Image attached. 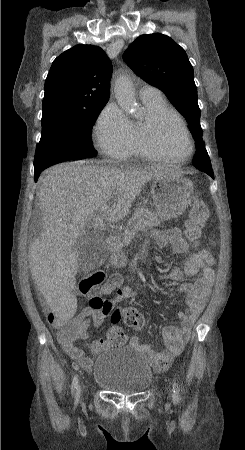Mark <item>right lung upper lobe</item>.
<instances>
[{
	"instance_id": "right-lung-upper-lobe-1",
	"label": "right lung upper lobe",
	"mask_w": 245,
	"mask_h": 450,
	"mask_svg": "<svg viewBox=\"0 0 245 450\" xmlns=\"http://www.w3.org/2000/svg\"><path fill=\"white\" fill-rule=\"evenodd\" d=\"M112 65L97 46L77 45L57 57L45 81L43 109L89 110L106 104Z\"/></svg>"
}]
</instances>
